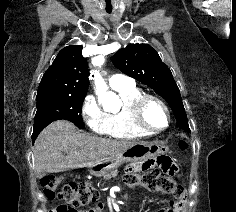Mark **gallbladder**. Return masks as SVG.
I'll return each mask as SVG.
<instances>
[{
  "label": "gallbladder",
  "instance_id": "1",
  "mask_svg": "<svg viewBox=\"0 0 236 212\" xmlns=\"http://www.w3.org/2000/svg\"><path fill=\"white\" fill-rule=\"evenodd\" d=\"M45 175V172H42V173H40L39 175H38V177H43Z\"/></svg>",
  "mask_w": 236,
  "mask_h": 212
}]
</instances>
